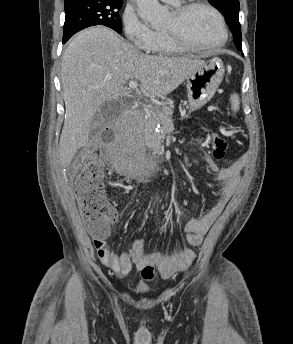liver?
<instances>
[{"mask_svg":"<svg viewBox=\"0 0 293 344\" xmlns=\"http://www.w3.org/2000/svg\"><path fill=\"white\" fill-rule=\"evenodd\" d=\"M203 63L189 57L144 54L103 26L78 33L61 65L66 108L59 142L61 165L69 166L77 150L88 144L96 113L105 102L125 96L128 81H140L146 97L164 96Z\"/></svg>","mask_w":293,"mask_h":344,"instance_id":"6515ba94","label":"liver"}]
</instances>
